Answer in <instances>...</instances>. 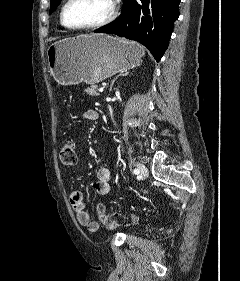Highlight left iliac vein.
<instances>
[{
	"label": "left iliac vein",
	"mask_w": 240,
	"mask_h": 281,
	"mask_svg": "<svg viewBox=\"0 0 240 281\" xmlns=\"http://www.w3.org/2000/svg\"><path fill=\"white\" fill-rule=\"evenodd\" d=\"M137 166L140 171L141 177L146 178L148 176V169L146 168V166L141 163H139Z\"/></svg>",
	"instance_id": "1"
}]
</instances>
